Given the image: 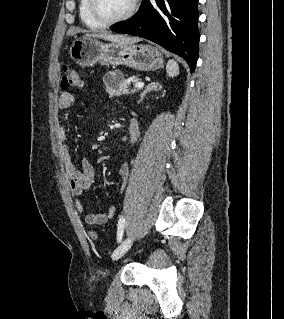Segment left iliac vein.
I'll return each instance as SVG.
<instances>
[{"label": "left iliac vein", "instance_id": "1", "mask_svg": "<svg viewBox=\"0 0 284 319\" xmlns=\"http://www.w3.org/2000/svg\"><path fill=\"white\" fill-rule=\"evenodd\" d=\"M133 238L128 237L114 250L112 254L113 260L121 258L132 246Z\"/></svg>", "mask_w": 284, "mask_h": 319}]
</instances>
